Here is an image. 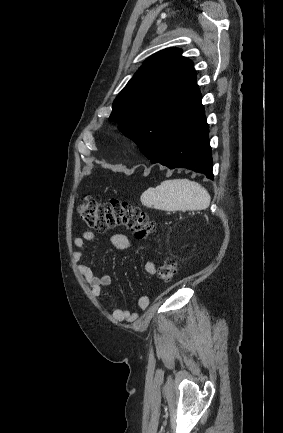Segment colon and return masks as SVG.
<instances>
[{"instance_id": "1", "label": "colon", "mask_w": 283, "mask_h": 433, "mask_svg": "<svg viewBox=\"0 0 283 433\" xmlns=\"http://www.w3.org/2000/svg\"><path fill=\"white\" fill-rule=\"evenodd\" d=\"M77 213L84 224L98 232L123 225L131 230L136 238L144 239L155 227L147 213L129 202L118 199L99 203L91 197H86L78 206ZM176 272V262L173 259H166L158 269V278L163 282H169Z\"/></svg>"}]
</instances>
